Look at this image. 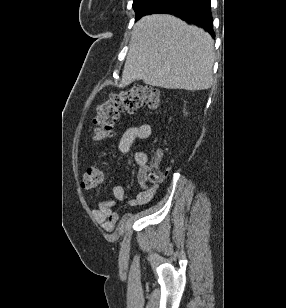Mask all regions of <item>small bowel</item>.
<instances>
[{"mask_svg": "<svg viewBox=\"0 0 286 308\" xmlns=\"http://www.w3.org/2000/svg\"><path fill=\"white\" fill-rule=\"evenodd\" d=\"M152 134V127L149 123H139L127 128L120 137L117 149L120 153H126L130 150L133 143L138 139H148ZM135 163L139 166L137 180L140 185V191L134 199L129 200L131 206H144L149 204L155 197L159 185L149 181L147 168V155L143 151H137L134 154ZM126 198V190L123 186H116L113 190V198L105 200L97 208L92 210L93 217L101 223L102 227L110 231L118 220V214L113 211L116 202Z\"/></svg>", "mask_w": 286, "mask_h": 308, "instance_id": "small-bowel-1", "label": "small bowel"}]
</instances>
